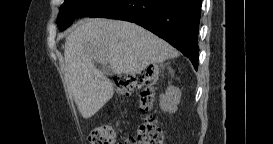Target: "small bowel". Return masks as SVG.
Instances as JSON below:
<instances>
[{
	"mask_svg": "<svg viewBox=\"0 0 273 144\" xmlns=\"http://www.w3.org/2000/svg\"><path fill=\"white\" fill-rule=\"evenodd\" d=\"M124 143H125V144H128V143H132V142H131V141H125Z\"/></svg>",
	"mask_w": 273,
	"mask_h": 144,
	"instance_id": "c3829d8e",
	"label": "small bowel"
}]
</instances>
